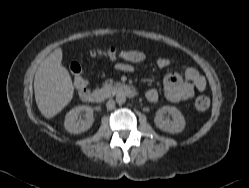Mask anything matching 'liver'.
I'll use <instances>...</instances> for the list:
<instances>
[{"label": "liver", "instance_id": "obj_1", "mask_svg": "<svg viewBox=\"0 0 249 188\" xmlns=\"http://www.w3.org/2000/svg\"><path fill=\"white\" fill-rule=\"evenodd\" d=\"M62 56V49H55L35 73V100L39 111L46 118L57 115L73 98L72 79L68 70L61 64Z\"/></svg>", "mask_w": 249, "mask_h": 188}]
</instances>
